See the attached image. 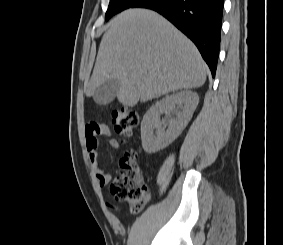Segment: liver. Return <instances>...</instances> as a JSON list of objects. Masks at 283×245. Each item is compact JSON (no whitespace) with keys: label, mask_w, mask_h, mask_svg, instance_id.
<instances>
[{"label":"liver","mask_w":283,"mask_h":245,"mask_svg":"<svg viewBox=\"0 0 283 245\" xmlns=\"http://www.w3.org/2000/svg\"><path fill=\"white\" fill-rule=\"evenodd\" d=\"M206 72L196 46L169 21L151 10L128 9L110 22L101 39L86 94L117 79L118 101L134 107L169 92L198 88Z\"/></svg>","instance_id":"1"}]
</instances>
